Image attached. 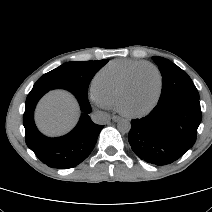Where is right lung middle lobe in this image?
Listing matches in <instances>:
<instances>
[{
  "label": "right lung middle lobe",
  "instance_id": "right-lung-middle-lobe-1",
  "mask_svg": "<svg viewBox=\"0 0 212 212\" xmlns=\"http://www.w3.org/2000/svg\"><path fill=\"white\" fill-rule=\"evenodd\" d=\"M107 62V59L67 62L41 76L35 85L74 89L87 94L92 78Z\"/></svg>",
  "mask_w": 212,
  "mask_h": 212
}]
</instances>
